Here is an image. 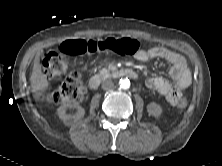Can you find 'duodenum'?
Masks as SVG:
<instances>
[{
    "instance_id": "1",
    "label": "duodenum",
    "mask_w": 222,
    "mask_h": 166,
    "mask_svg": "<svg viewBox=\"0 0 222 166\" xmlns=\"http://www.w3.org/2000/svg\"><path fill=\"white\" fill-rule=\"evenodd\" d=\"M117 74L122 75V76H127L133 79L137 78L136 72L128 68L120 69L117 72ZM101 80H102V77L100 75H93L88 81L89 88L92 90L97 89L101 83Z\"/></svg>"
}]
</instances>
